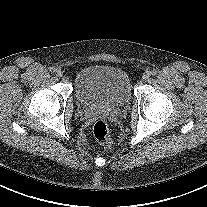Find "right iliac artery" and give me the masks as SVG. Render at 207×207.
<instances>
[{"instance_id":"obj_1","label":"right iliac artery","mask_w":207,"mask_h":207,"mask_svg":"<svg viewBox=\"0 0 207 207\" xmlns=\"http://www.w3.org/2000/svg\"><path fill=\"white\" fill-rule=\"evenodd\" d=\"M50 71H51V72H55L56 69H55L54 67H51V68H50Z\"/></svg>"}]
</instances>
